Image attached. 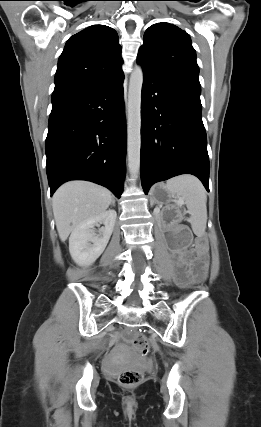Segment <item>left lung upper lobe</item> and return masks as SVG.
Here are the masks:
<instances>
[{
  "mask_svg": "<svg viewBox=\"0 0 261 427\" xmlns=\"http://www.w3.org/2000/svg\"><path fill=\"white\" fill-rule=\"evenodd\" d=\"M137 61L153 70L199 81V67L190 37L170 23H157L146 30Z\"/></svg>",
  "mask_w": 261,
  "mask_h": 427,
  "instance_id": "left-lung-upper-lobe-1",
  "label": "left lung upper lobe"
}]
</instances>
